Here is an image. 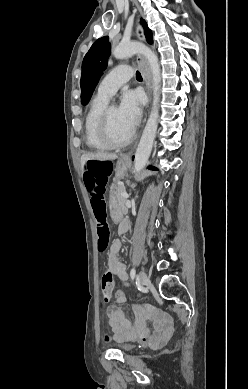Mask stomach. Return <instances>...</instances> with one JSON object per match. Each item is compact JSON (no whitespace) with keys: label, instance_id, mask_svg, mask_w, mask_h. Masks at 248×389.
Segmentation results:
<instances>
[{"label":"stomach","instance_id":"0dacf381","mask_svg":"<svg viewBox=\"0 0 248 389\" xmlns=\"http://www.w3.org/2000/svg\"><path fill=\"white\" fill-rule=\"evenodd\" d=\"M128 167H129V163L127 161H124L123 159H119L114 168L115 179L116 180L122 179L125 176ZM122 186H123L122 182H113L111 189L113 191H116L117 189H122ZM109 204L111 208L110 214L113 220H122L123 219L122 210L119 209V204L114 193H112L110 197Z\"/></svg>","mask_w":248,"mask_h":389}]
</instances>
